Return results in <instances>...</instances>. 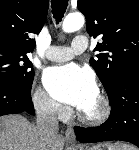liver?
<instances>
[{"label": "liver", "mask_w": 139, "mask_h": 150, "mask_svg": "<svg viewBox=\"0 0 139 150\" xmlns=\"http://www.w3.org/2000/svg\"><path fill=\"white\" fill-rule=\"evenodd\" d=\"M64 139L56 136L50 150H63ZM37 128L20 115L0 117V150H45Z\"/></svg>", "instance_id": "6515ba94"}]
</instances>
